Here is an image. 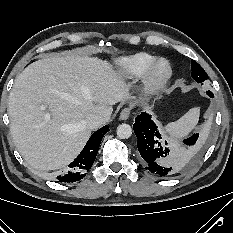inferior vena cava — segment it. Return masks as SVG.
<instances>
[{"mask_svg": "<svg viewBox=\"0 0 233 233\" xmlns=\"http://www.w3.org/2000/svg\"><path fill=\"white\" fill-rule=\"evenodd\" d=\"M107 122V117L100 114H91L86 120L85 124L89 129H97Z\"/></svg>", "mask_w": 233, "mask_h": 233, "instance_id": "602c4592", "label": "inferior vena cava"}]
</instances>
